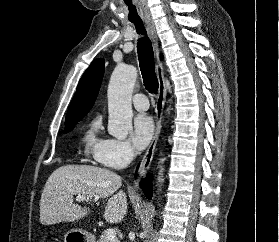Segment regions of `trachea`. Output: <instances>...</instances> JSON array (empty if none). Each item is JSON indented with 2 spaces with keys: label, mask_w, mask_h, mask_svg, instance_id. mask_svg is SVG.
Returning a JSON list of instances; mask_svg holds the SVG:
<instances>
[{
  "label": "trachea",
  "mask_w": 279,
  "mask_h": 242,
  "mask_svg": "<svg viewBox=\"0 0 279 242\" xmlns=\"http://www.w3.org/2000/svg\"><path fill=\"white\" fill-rule=\"evenodd\" d=\"M132 23L135 25L137 33L144 35V37L138 39L137 44V52L144 86L150 93L156 94L159 88V83L155 73L152 43L146 35V29L142 21H132Z\"/></svg>",
  "instance_id": "3493384b"
}]
</instances>
